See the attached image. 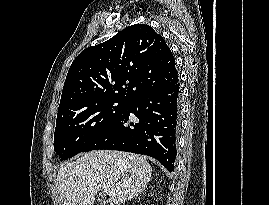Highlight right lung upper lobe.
Returning <instances> with one entry per match:
<instances>
[{
	"mask_svg": "<svg viewBox=\"0 0 269 205\" xmlns=\"http://www.w3.org/2000/svg\"><path fill=\"white\" fill-rule=\"evenodd\" d=\"M175 59L163 37L145 24L128 26L88 47L68 71L57 119L109 100L129 102L178 83Z\"/></svg>",
	"mask_w": 269,
	"mask_h": 205,
	"instance_id": "1",
	"label": "right lung upper lobe"
}]
</instances>
